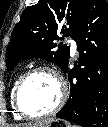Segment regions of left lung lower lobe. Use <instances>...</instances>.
Instances as JSON below:
<instances>
[{
  "instance_id": "left-lung-lower-lobe-1",
  "label": "left lung lower lobe",
  "mask_w": 108,
  "mask_h": 127,
  "mask_svg": "<svg viewBox=\"0 0 108 127\" xmlns=\"http://www.w3.org/2000/svg\"><path fill=\"white\" fill-rule=\"evenodd\" d=\"M78 65L65 73L70 80V97L58 118L83 127H108V3L87 0L74 33ZM92 64L99 67L94 85L89 77Z\"/></svg>"
}]
</instances>
